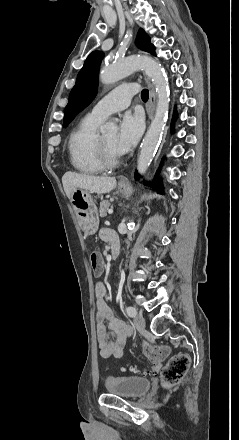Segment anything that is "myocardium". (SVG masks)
Here are the masks:
<instances>
[{
	"label": "myocardium",
	"mask_w": 239,
	"mask_h": 440,
	"mask_svg": "<svg viewBox=\"0 0 239 440\" xmlns=\"http://www.w3.org/2000/svg\"><path fill=\"white\" fill-rule=\"evenodd\" d=\"M95 149L97 157L104 168L112 169L119 164L120 155L111 152L103 143L100 135H98L96 138Z\"/></svg>",
	"instance_id": "myocardium-1"
}]
</instances>
